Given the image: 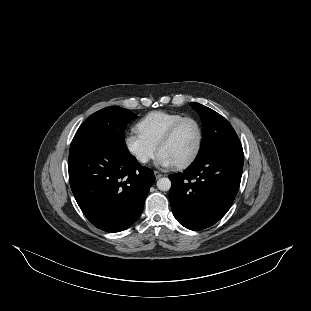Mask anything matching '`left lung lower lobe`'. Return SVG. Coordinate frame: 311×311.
Returning <instances> with one entry per match:
<instances>
[{"instance_id": "0a47b994", "label": "left lung lower lobe", "mask_w": 311, "mask_h": 311, "mask_svg": "<svg viewBox=\"0 0 311 311\" xmlns=\"http://www.w3.org/2000/svg\"><path fill=\"white\" fill-rule=\"evenodd\" d=\"M242 170L243 149L238 146L194 162L183 173L169 175V199L178 222L198 231L219 221L234 201Z\"/></svg>"}]
</instances>
